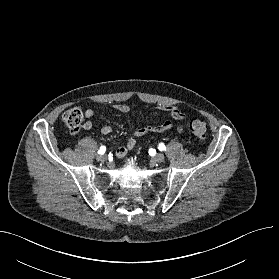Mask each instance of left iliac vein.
Returning a JSON list of instances; mask_svg holds the SVG:
<instances>
[{
  "label": "left iliac vein",
  "mask_w": 279,
  "mask_h": 279,
  "mask_svg": "<svg viewBox=\"0 0 279 279\" xmlns=\"http://www.w3.org/2000/svg\"><path fill=\"white\" fill-rule=\"evenodd\" d=\"M155 162L161 163L165 161V156L162 153H158L153 157Z\"/></svg>",
  "instance_id": "left-iliac-vein-1"
}]
</instances>
